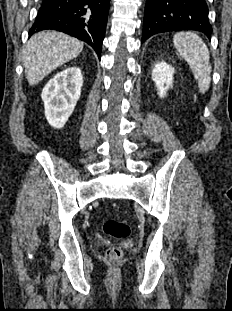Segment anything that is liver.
<instances>
[{
  "mask_svg": "<svg viewBox=\"0 0 232 311\" xmlns=\"http://www.w3.org/2000/svg\"><path fill=\"white\" fill-rule=\"evenodd\" d=\"M83 43L61 32H39L31 37L24 51V68L30 85L38 84L60 65L76 58Z\"/></svg>",
  "mask_w": 232,
  "mask_h": 311,
  "instance_id": "6515ba94",
  "label": "liver"
}]
</instances>
